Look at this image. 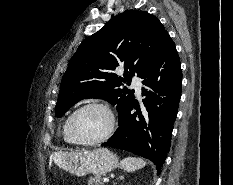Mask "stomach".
<instances>
[{
    "mask_svg": "<svg viewBox=\"0 0 233 185\" xmlns=\"http://www.w3.org/2000/svg\"><path fill=\"white\" fill-rule=\"evenodd\" d=\"M54 163L61 169L77 176L92 173L102 175L118 166L117 156L107 148L87 151H59L52 155Z\"/></svg>",
    "mask_w": 233,
    "mask_h": 185,
    "instance_id": "0dacf381",
    "label": "stomach"
}]
</instances>
